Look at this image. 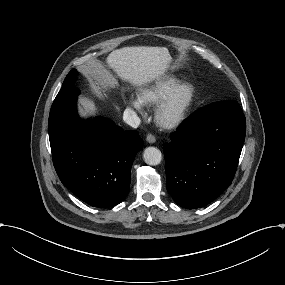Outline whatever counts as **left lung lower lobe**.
<instances>
[{
	"label": "left lung lower lobe",
	"mask_w": 285,
	"mask_h": 285,
	"mask_svg": "<svg viewBox=\"0 0 285 285\" xmlns=\"http://www.w3.org/2000/svg\"><path fill=\"white\" fill-rule=\"evenodd\" d=\"M246 120L236 101L209 104L189 116L164 144L167 189L184 208H200L232 183Z\"/></svg>",
	"instance_id": "obj_1"
}]
</instances>
